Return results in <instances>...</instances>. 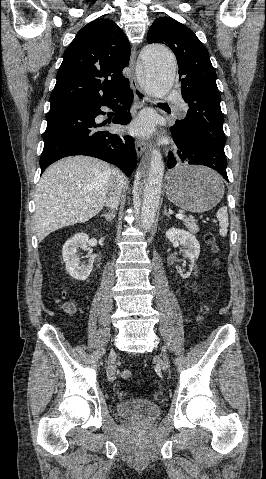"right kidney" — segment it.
Here are the masks:
<instances>
[{
	"label": "right kidney",
	"instance_id": "obj_1",
	"mask_svg": "<svg viewBox=\"0 0 266 479\" xmlns=\"http://www.w3.org/2000/svg\"><path fill=\"white\" fill-rule=\"evenodd\" d=\"M89 236L86 233L75 234L68 239L62 249V257L65 262L66 271L76 280H86L93 269L94 258L90 256L88 264L80 265L77 249L87 250Z\"/></svg>",
	"mask_w": 266,
	"mask_h": 479
}]
</instances>
